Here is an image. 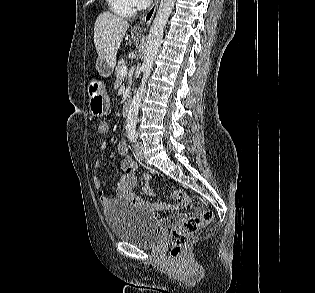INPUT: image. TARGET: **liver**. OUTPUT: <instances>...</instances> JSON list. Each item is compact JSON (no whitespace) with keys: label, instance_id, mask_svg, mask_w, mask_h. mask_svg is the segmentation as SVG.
Here are the masks:
<instances>
[{"label":"liver","instance_id":"1","mask_svg":"<svg viewBox=\"0 0 315 293\" xmlns=\"http://www.w3.org/2000/svg\"><path fill=\"white\" fill-rule=\"evenodd\" d=\"M129 23L110 12H102L94 25V45L100 60L113 67L117 51L125 36Z\"/></svg>","mask_w":315,"mask_h":293}]
</instances>
